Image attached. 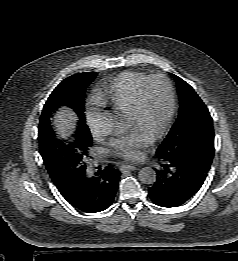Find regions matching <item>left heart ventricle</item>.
Wrapping results in <instances>:
<instances>
[{"instance_id": "obj_1", "label": "left heart ventricle", "mask_w": 238, "mask_h": 261, "mask_svg": "<svg viewBox=\"0 0 238 261\" xmlns=\"http://www.w3.org/2000/svg\"><path fill=\"white\" fill-rule=\"evenodd\" d=\"M169 106L168 93L161 81L153 82L147 89L144 110L140 118L132 114L129 124L153 135L162 125Z\"/></svg>"}]
</instances>
